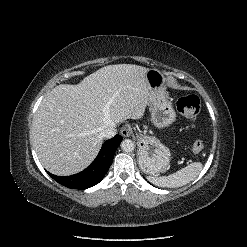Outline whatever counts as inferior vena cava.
Wrapping results in <instances>:
<instances>
[{"label":"inferior vena cava","mask_w":247,"mask_h":247,"mask_svg":"<svg viewBox=\"0 0 247 247\" xmlns=\"http://www.w3.org/2000/svg\"><path fill=\"white\" fill-rule=\"evenodd\" d=\"M117 133V130H116V126L115 124L107 127L103 132H102V137L103 138H107V139H110L112 137H114Z\"/></svg>","instance_id":"1"}]
</instances>
